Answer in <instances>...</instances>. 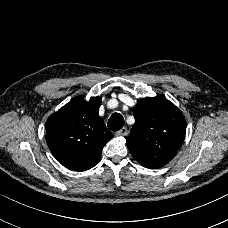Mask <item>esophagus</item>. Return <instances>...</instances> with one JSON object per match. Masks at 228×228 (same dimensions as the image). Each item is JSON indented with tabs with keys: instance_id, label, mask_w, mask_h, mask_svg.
<instances>
[{
	"instance_id": "obj_1",
	"label": "esophagus",
	"mask_w": 228,
	"mask_h": 228,
	"mask_svg": "<svg viewBox=\"0 0 228 228\" xmlns=\"http://www.w3.org/2000/svg\"><path fill=\"white\" fill-rule=\"evenodd\" d=\"M128 133H129L128 128L127 127H123L119 131L116 132V135L117 136H126V135H128Z\"/></svg>"
}]
</instances>
